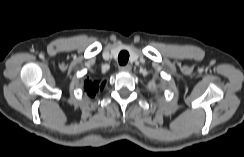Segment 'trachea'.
<instances>
[{
  "mask_svg": "<svg viewBox=\"0 0 244 157\" xmlns=\"http://www.w3.org/2000/svg\"><path fill=\"white\" fill-rule=\"evenodd\" d=\"M129 60V53L127 51H121L118 55V62L120 65H126Z\"/></svg>",
  "mask_w": 244,
  "mask_h": 157,
  "instance_id": "3493384b",
  "label": "trachea"
}]
</instances>
